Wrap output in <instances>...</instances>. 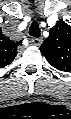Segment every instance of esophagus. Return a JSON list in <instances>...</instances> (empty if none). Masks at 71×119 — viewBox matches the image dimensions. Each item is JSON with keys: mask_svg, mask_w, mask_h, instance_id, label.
I'll return each instance as SVG.
<instances>
[{"mask_svg": "<svg viewBox=\"0 0 71 119\" xmlns=\"http://www.w3.org/2000/svg\"><path fill=\"white\" fill-rule=\"evenodd\" d=\"M42 39L41 38H32L31 39V43L35 46H40L42 44Z\"/></svg>", "mask_w": 71, "mask_h": 119, "instance_id": "obj_1", "label": "esophagus"}]
</instances>
